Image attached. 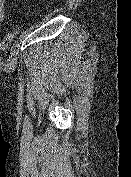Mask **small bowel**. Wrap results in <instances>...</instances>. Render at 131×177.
Returning a JSON list of instances; mask_svg holds the SVG:
<instances>
[{
    "mask_svg": "<svg viewBox=\"0 0 131 177\" xmlns=\"http://www.w3.org/2000/svg\"><path fill=\"white\" fill-rule=\"evenodd\" d=\"M7 0H0V23L5 19V9Z\"/></svg>",
    "mask_w": 131,
    "mask_h": 177,
    "instance_id": "obj_1",
    "label": "small bowel"
}]
</instances>
